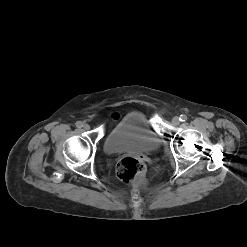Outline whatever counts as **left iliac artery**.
<instances>
[{"instance_id":"44dca946","label":"left iliac artery","mask_w":247,"mask_h":247,"mask_svg":"<svg viewBox=\"0 0 247 247\" xmlns=\"http://www.w3.org/2000/svg\"><path fill=\"white\" fill-rule=\"evenodd\" d=\"M179 119H180V121L185 122L187 120V116L183 114L180 116Z\"/></svg>"}]
</instances>
